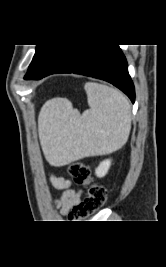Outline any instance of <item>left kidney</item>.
Returning <instances> with one entry per match:
<instances>
[{
    "mask_svg": "<svg viewBox=\"0 0 166 267\" xmlns=\"http://www.w3.org/2000/svg\"><path fill=\"white\" fill-rule=\"evenodd\" d=\"M110 165H111V160L110 159L102 161L99 164V166L96 168V170H95L96 176L100 177V178L104 177L107 174V172H108V170L110 168Z\"/></svg>",
    "mask_w": 166,
    "mask_h": 267,
    "instance_id": "5707ae66",
    "label": "left kidney"
}]
</instances>
